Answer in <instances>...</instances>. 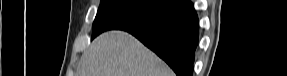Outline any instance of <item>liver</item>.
<instances>
[{
    "mask_svg": "<svg viewBox=\"0 0 287 76\" xmlns=\"http://www.w3.org/2000/svg\"><path fill=\"white\" fill-rule=\"evenodd\" d=\"M79 76H174L167 64L123 31L98 36L82 54Z\"/></svg>",
    "mask_w": 287,
    "mask_h": 76,
    "instance_id": "liver-1",
    "label": "liver"
}]
</instances>
